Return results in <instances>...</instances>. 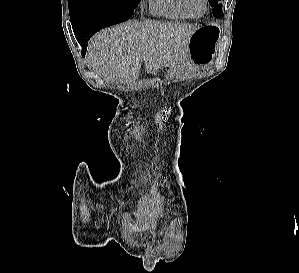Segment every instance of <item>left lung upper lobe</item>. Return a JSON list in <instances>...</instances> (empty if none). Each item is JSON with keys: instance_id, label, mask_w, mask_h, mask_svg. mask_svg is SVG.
<instances>
[{"instance_id": "5c2ea615", "label": "left lung upper lobe", "mask_w": 299, "mask_h": 273, "mask_svg": "<svg viewBox=\"0 0 299 273\" xmlns=\"http://www.w3.org/2000/svg\"><path fill=\"white\" fill-rule=\"evenodd\" d=\"M210 5L213 7V15L217 18L223 17L221 0H208Z\"/></svg>"}]
</instances>
